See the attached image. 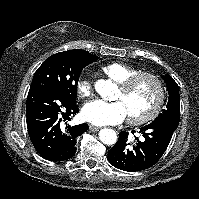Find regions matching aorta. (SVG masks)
<instances>
[{
  "mask_svg": "<svg viewBox=\"0 0 199 199\" xmlns=\"http://www.w3.org/2000/svg\"><path fill=\"white\" fill-rule=\"evenodd\" d=\"M95 89L102 98L110 100L115 84L110 80H99L95 84ZM99 139L106 145H113L117 141V134L114 130L105 128L99 132Z\"/></svg>",
  "mask_w": 199,
  "mask_h": 199,
  "instance_id": "1",
  "label": "aorta"
}]
</instances>
